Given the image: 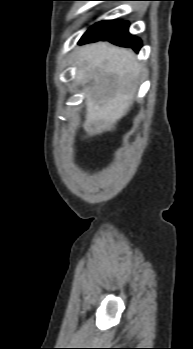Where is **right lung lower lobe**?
<instances>
[{
	"label": "right lung lower lobe",
	"mask_w": 193,
	"mask_h": 349,
	"mask_svg": "<svg viewBox=\"0 0 193 349\" xmlns=\"http://www.w3.org/2000/svg\"><path fill=\"white\" fill-rule=\"evenodd\" d=\"M127 21L105 20L91 26L81 37L79 44L95 41H110L113 44L131 47L136 52L141 48V40L132 36Z\"/></svg>",
	"instance_id": "98d812e1"
}]
</instances>
